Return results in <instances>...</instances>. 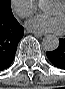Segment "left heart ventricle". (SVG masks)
Wrapping results in <instances>:
<instances>
[{"label": "left heart ventricle", "mask_w": 65, "mask_h": 89, "mask_svg": "<svg viewBox=\"0 0 65 89\" xmlns=\"http://www.w3.org/2000/svg\"><path fill=\"white\" fill-rule=\"evenodd\" d=\"M48 13L51 15L59 16L65 22V7L60 3H55L48 7Z\"/></svg>", "instance_id": "1"}]
</instances>
